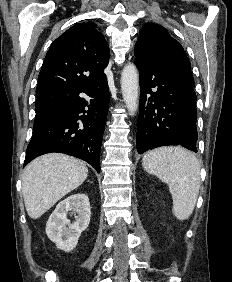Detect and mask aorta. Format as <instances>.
I'll list each match as a JSON object with an SVG mask.
<instances>
[{
    "label": "aorta",
    "mask_w": 232,
    "mask_h": 282,
    "mask_svg": "<svg viewBox=\"0 0 232 282\" xmlns=\"http://www.w3.org/2000/svg\"><path fill=\"white\" fill-rule=\"evenodd\" d=\"M139 75L134 64H127L121 74V90L128 111L133 115L138 108Z\"/></svg>",
    "instance_id": "762f6f07"
}]
</instances>
